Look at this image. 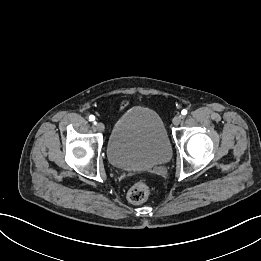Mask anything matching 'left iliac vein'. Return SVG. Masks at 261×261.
I'll return each mask as SVG.
<instances>
[{
  "label": "left iliac vein",
  "mask_w": 261,
  "mask_h": 261,
  "mask_svg": "<svg viewBox=\"0 0 261 261\" xmlns=\"http://www.w3.org/2000/svg\"><path fill=\"white\" fill-rule=\"evenodd\" d=\"M183 116L177 115L173 118V124L178 126L182 122Z\"/></svg>",
  "instance_id": "obj_1"
}]
</instances>
